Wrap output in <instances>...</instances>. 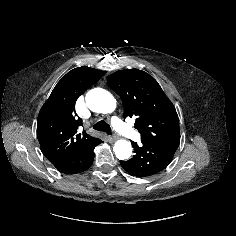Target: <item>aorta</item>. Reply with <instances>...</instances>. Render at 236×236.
I'll use <instances>...</instances> for the list:
<instances>
[{"label": "aorta", "mask_w": 236, "mask_h": 236, "mask_svg": "<svg viewBox=\"0 0 236 236\" xmlns=\"http://www.w3.org/2000/svg\"><path fill=\"white\" fill-rule=\"evenodd\" d=\"M86 104L90 110L97 113H111L116 108V100L113 95L102 89L94 88L86 94ZM113 151L119 160L128 159L132 154L130 142L120 139L115 142Z\"/></svg>", "instance_id": "obj_1"}]
</instances>
